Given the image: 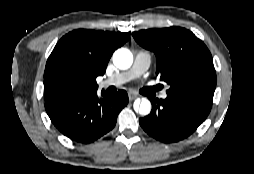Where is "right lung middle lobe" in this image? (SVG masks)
<instances>
[{
    "mask_svg": "<svg viewBox=\"0 0 254 174\" xmlns=\"http://www.w3.org/2000/svg\"><path fill=\"white\" fill-rule=\"evenodd\" d=\"M96 84L71 74H60L44 90L45 99L64 97L97 89Z\"/></svg>",
    "mask_w": 254,
    "mask_h": 174,
    "instance_id": "dd1d6c3e",
    "label": "right lung middle lobe"
}]
</instances>
